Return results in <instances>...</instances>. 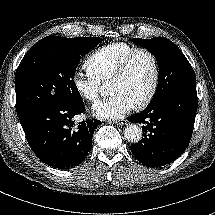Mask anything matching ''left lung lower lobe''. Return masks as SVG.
Returning a JSON list of instances; mask_svg holds the SVG:
<instances>
[{"mask_svg":"<svg viewBox=\"0 0 215 215\" xmlns=\"http://www.w3.org/2000/svg\"><path fill=\"white\" fill-rule=\"evenodd\" d=\"M197 106L196 84H191L129 117L130 122L144 124V138L131 146L136 159L147 167H161L177 159L190 142Z\"/></svg>","mask_w":215,"mask_h":215,"instance_id":"1","label":"left lung lower lobe"}]
</instances>
